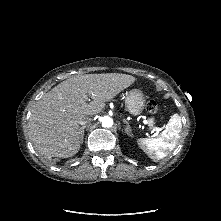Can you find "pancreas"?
<instances>
[{
    "label": "pancreas",
    "mask_w": 221,
    "mask_h": 221,
    "mask_svg": "<svg viewBox=\"0 0 221 221\" xmlns=\"http://www.w3.org/2000/svg\"><path fill=\"white\" fill-rule=\"evenodd\" d=\"M149 125H153V121L151 119L148 120Z\"/></svg>",
    "instance_id": "pancreas-1"
}]
</instances>
